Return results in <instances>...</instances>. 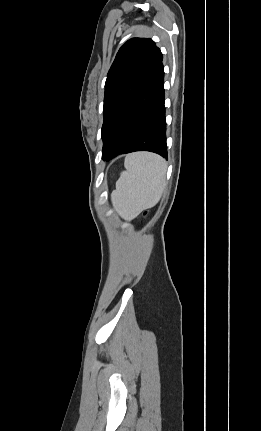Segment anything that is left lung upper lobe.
Listing matches in <instances>:
<instances>
[{
	"label": "left lung upper lobe",
	"instance_id": "5c2ea615",
	"mask_svg": "<svg viewBox=\"0 0 261 431\" xmlns=\"http://www.w3.org/2000/svg\"><path fill=\"white\" fill-rule=\"evenodd\" d=\"M162 59L160 49L149 38H132L118 51L105 83L101 131L104 160L114 145L129 104Z\"/></svg>",
	"mask_w": 261,
	"mask_h": 431
}]
</instances>
